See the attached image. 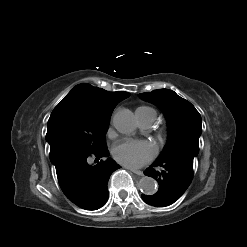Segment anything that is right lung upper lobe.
Instances as JSON below:
<instances>
[{"label": "right lung upper lobe", "mask_w": 247, "mask_h": 247, "mask_svg": "<svg viewBox=\"0 0 247 247\" xmlns=\"http://www.w3.org/2000/svg\"><path fill=\"white\" fill-rule=\"evenodd\" d=\"M130 96L128 92H108L83 83L75 86L65 97H76L96 114H112L115 106Z\"/></svg>", "instance_id": "right-lung-upper-lobe-1"}]
</instances>
